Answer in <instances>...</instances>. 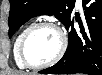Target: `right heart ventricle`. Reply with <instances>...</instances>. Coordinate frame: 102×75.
I'll return each mask as SVG.
<instances>
[{
	"instance_id": "e07e8e85",
	"label": "right heart ventricle",
	"mask_w": 102,
	"mask_h": 75,
	"mask_svg": "<svg viewBox=\"0 0 102 75\" xmlns=\"http://www.w3.org/2000/svg\"><path fill=\"white\" fill-rule=\"evenodd\" d=\"M33 25V22L30 21L28 23H26L21 29L20 31L17 33L15 39H14V43H13V55H14V59L15 62L17 64V66L19 67H25V63L21 58V54H20V43L22 40V37L24 36V34L26 33V31Z\"/></svg>"
}]
</instances>
